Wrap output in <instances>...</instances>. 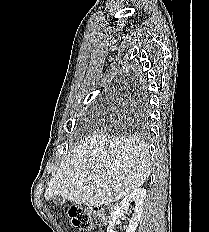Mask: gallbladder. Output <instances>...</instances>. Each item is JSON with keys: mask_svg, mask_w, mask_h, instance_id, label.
<instances>
[{"mask_svg": "<svg viewBox=\"0 0 209 232\" xmlns=\"http://www.w3.org/2000/svg\"><path fill=\"white\" fill-rule=\"evenodd\" d=\"M53 202L55 205L59 206L65 202V199L62 196L57 195L53 198Z\"/></svg>", "mask_w": 209, "mask_h": 232, "instance_id": "1", "label": "gallbladder"}]
</instances>
